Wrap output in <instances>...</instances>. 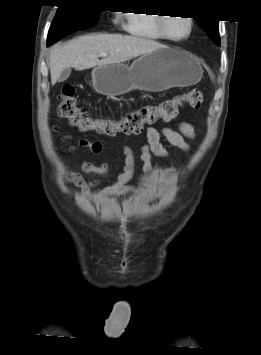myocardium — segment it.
Instances as JSON below:
<instances>
[{
	"instance_id": "1",
	"label": "myocardium",
	"mask_w": 261,
	"mask_h": 355,
	"mask_svg": "<svg viewBox=\"0 0 261 355\" xmlns=\"http://www.w3.org/2000/svg\"><path fill=\"white\" fill-rule=\"evenodd\" d=\"M164 16H166V15H164ZM184 18L189 23V32H188V34L186 36L180 37V38H174V37L169 35V33L167 31L168 17H160L159 18V28H160V31H161V33H162V35L164 36L165 39H167L169 41H173V42H181V41H184V40L188 39L192 35L193 29H194V21L189 16H184Z\"/></svg>"
}]
</instances>
